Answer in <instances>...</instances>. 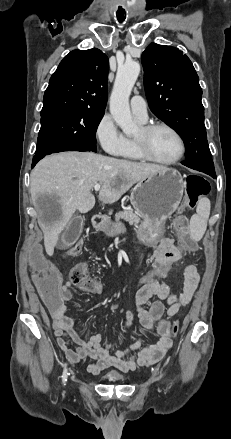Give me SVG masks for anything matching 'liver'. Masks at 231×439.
Returning a JSON list of instances; mask_svg holds the SVG:
<instances>
[{
	"instance_id": "liver-1",
	"label": "liver",
	"mask_w": 231,
	"mask_h": 439,
	"mask_svg": "<svg viewBox=\"0 0 231 439\" xmlns=\"http://www.w3.org/2000/svg\"><path fill=\"white\" fill-rule=\"evenodd\" d=\"M165 167L116 159L91 152H62L42 159L31 172L30 192L38 212L49 256L54 253L60 233L76 210L87 213L95 205L91 193L101 184L99 200L106 204L118 201L135 183ZM50 196L58 207L43 215L38 198Z\"/></svg>"
}]
</instances>
